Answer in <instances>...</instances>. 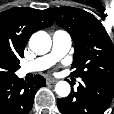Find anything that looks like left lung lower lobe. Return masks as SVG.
<instances>
[{
    "instance_id": "1",
    "label": "left lung lower lobe",
    "mask_w": 114,
    "mask_h": 114,
    "mask_svg": "<svg viewBox=\"0 0 114 114\" xmlns=\"http://www.w3.org/2000/svg\"><path fill=\"white\" fill-rule=\"evenodd\" d=\"M77 92L57 100L62 114H103L114 97V84L93 78H82Z\"/></svg>"
}]
</instances>
